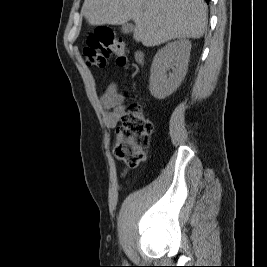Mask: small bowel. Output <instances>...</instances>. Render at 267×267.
Returning <instances> with one entry per match:
<instances>
[{
    "label": "small bowel",
    "mask_w": 267,
    "mask_h": 267,
    "mask_svg": "<svg viewBox=\"0 0 267 267\" xmlns=\"http://www.w3.org/2000/svg\"><path fill=\"white\" fill-rule=\"evenodd\" d=\"M125 97L119 92L116 84H110L102 96L100 104L103 109L104 123L108 128H115L126 113ZM126 171H124V174Z\"/></svg>",
    "instance_id": "c3829d8e"
}]
</instances>
